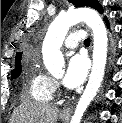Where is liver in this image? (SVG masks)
<instances>
[{
	"label": "liver",
	"mask_w": 122,
	"mask_h": 123,
	"mask_svg": "<svg viewBox=\"0 0 122 123\" xmlns=\"http://www.w3.org/2000/svg\"><path fill=\"white\" fill-rule=\"evenodd\" d=\"M59 109L37 102H25L14 110L11 123H56Z\"/></svg>",
	"instance_id": "1"
}]
</instances>
